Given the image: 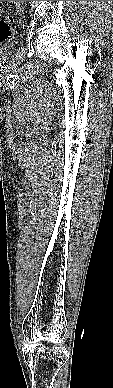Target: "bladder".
<instances>
[{
	"instance_id": "bladder-1",
	"label": "bladder",
	"mask_w": 113,
	"mask_h": 388,
	"mask_svg": "<svg viewBox=\"0 0 113 388\" xmlns=\"http://www.w3.org/2000/svg\"><path fill=\"white\" fill-rule=\"evenodd\" d=\"M8 49H9V46L1 45L0 46V57L5 55L7 53V51H8Z\"/></svg>"
}]
</instances>
